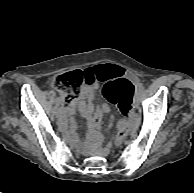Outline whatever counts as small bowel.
Wrapping results in <instances>:
<instances>
[{
	"label": "small bowel",
	"mask_w": 194,
	"mask_h": 193,
	"mask_svg": "<svg viewBox=\"0 0 194 193\" xmlns=\"http://www.w3.org/2000/svg\"><path fill=\"white\" fill-rule=\"evenodd\" d=\"M118 76H120V69L115 66L90 68L86 72L85 85L80 98L70 103L65 102L62 111L63 116L60 120L61 126L68 132H72L75 129V124L72 121L69 122L68 118L72 117L75 111H79L86 119L90 131L99 128L102 124L104 114L110 113V108L107 104H104L100 108H95L97 88L101 84L112 82V80ZM106 151L107 150L104 149L103 154L106 153Z\"/></svg>",
	"instance_id": "obj_1"
}]
</instances>
